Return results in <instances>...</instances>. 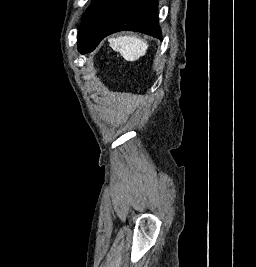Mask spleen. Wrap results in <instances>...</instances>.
Segmentation results:
<instances>
[{
  "label": "spleen",
  "mask_w": 256,
  "mask_h": 267,
  "mask_svg": "<svg viewBox=\"0 0 256 267\" xmlns=\"http://www.w3.org/2000/svg\"><path fill=\"white\" fill-rule=\"evenodd\" d=\"M111 48L115 52H120L126 62H136L140 56H145L148 48L147 42L137 36H119V38H109Z\"/></svg>",
  "instance_id": "spleen-1"
}]
</instances>
